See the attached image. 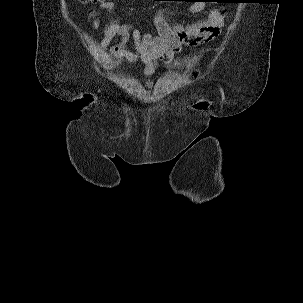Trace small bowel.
Instances as JSON below:
<instances>
[{"label": "small bowel", "instance_id": "small-bowel-1", "mask_svg": "<svg viewBox=\"0 0 303 303\" xmlns=\"http://www.w3.org/2000/svg\"><path fill=\"white\" fill-rule=\"evenodd\" d=\"M103 10L111 12L115 5L110 0H99ZM193 12L200 9L197 6L191 8ZM91 30L95 31L101 26V20L97 11L89 14ZM224 22L223 14L213 9L208 18L196 24L171 27L163 12H157L153 17L156 34H145L132 24L120 23L111 20L104 27L103 36L95 44V50L99 62L106 69L121 70L123 62L136 63L140 61L144 65L143 73L146 77L152 76L159 63L169 65L174 57L181 51L182 44L196 45L215 38ZM120 38V42L112 45V41ZM133 40L134 52L127 48L129 40Z\"/></svg>", "mask_w": 303, "mask_h": 303}]
</instances>
